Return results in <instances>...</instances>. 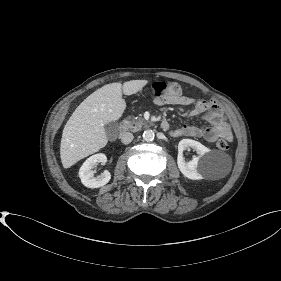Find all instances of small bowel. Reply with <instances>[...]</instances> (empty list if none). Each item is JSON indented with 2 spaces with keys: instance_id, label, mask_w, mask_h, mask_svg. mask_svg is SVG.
<instances>
[{
  "instance_id": "c3829d8e",
  "label": "small bowel",
  "mask_w": 281,
  "mask_h": 281,
  "mask_svg": "<svg viewBox=\"0 0 281 281\" xmlns=\"http://www.w3.org/2000/svg\"><path fill=\"white\" fill-rule=\"evenodd\" d=\"M158 106H192L190 115H203L211 127L184 125L171 131L173 137L202 138L208 142H215L218 138L232 139V132L225 121L223 113L212 99H196L190 96L174 95L156 99ZM169 128V127H168Z\"/></svg>"
}]
</instances>
